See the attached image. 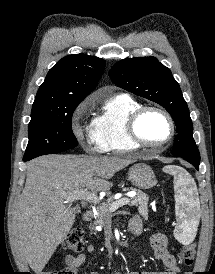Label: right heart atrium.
<instances>
[{"instance_id": "d8ad5b80", "label": "right heart atrium", "mask_w": 215, "mask_h": 274, "mask_svg": "<svg viewBox=\"0 0 215 274\" xmlns=\"http://www.w3.org/2000/svg\"><path fill=\"white\" fill-rule=\"evenodd\" d=\"M89 110V103L84 102L77 110L78 118H84ZM73 131L79 142L83 145L86 151L90 153H102L105 152L104 148L95 137L92 124L86 125L75 120L73 123Z\"/></svg>"}]
</instances>
